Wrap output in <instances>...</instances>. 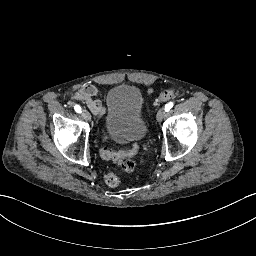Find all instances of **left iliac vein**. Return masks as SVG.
<instances>
[{
  "instance_id": "4c4485c4",
  "label": "left iliac vein",
  "mask_w": 256,
  "mask_h": 256,
  "mask_svg": "<svg viewBox=\"0 0 256 256\" xmlns=\"http://www.w3.org/2000/svg\"><path fill=\"white\" fill-rule=\"evenodd\" d=\"M165 115H166L165 109H164V108H160V109L158 110L157 116H156L157 121H158V122H161V121L164 119Z\"/></svg>"
}]
</instances>
